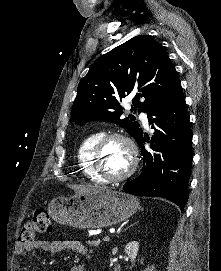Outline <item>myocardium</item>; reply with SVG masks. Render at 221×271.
I'll return each mask as SVG.
<instances>
[{
    "label": "myocardium",
    "mask_w": 221,
    "mask_h": 271,
    "mask_svg": "<svg viewBox=\"0 0 221 271\" xmlns=\"http://www.w3.org/2000/svg\"><path fill=\"white\" fill-rule=\"evenodd\" d=\"M106 138H100L98 140V145H96V150L91 154L90 159L94 163L95 172L98 175H101V178H108V183H119V178H129L130 175H133L135 172V167H139L138 161V145H133V138L126 132L124 129L121 130H113L106 132ZM110 142H120L122 145V150H127L126 153L123 154V157L131 167H126V170L122 172L121 175H108L107 172H104L103 166L101 165V155L102 150H105V145H109Z\"/></svg>",
    "instance_id": "f54148a6"
}]
</instances>
